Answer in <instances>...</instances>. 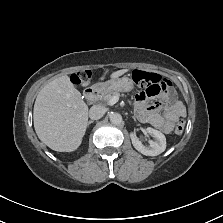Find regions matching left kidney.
<instances>
[{"label": "left kidney", "mask_w": 223, "mask_h": 223, "mask_svg": "<svg viewBox=\"0 0 223 223\" xmlns=\"http://www.w3.org/2000/svg\"><path fill=\"white\" fill-rule=\"evenodd\" d=\"M146 130L150 135L154 136V140L150 141V146L146 147L139 139L133 138L132 143L134 147L142 154L149 156H156L164 152L166 149L165 135L152 127H147Z\"/></svg>", "instance_id": "1"}]
</instances>
